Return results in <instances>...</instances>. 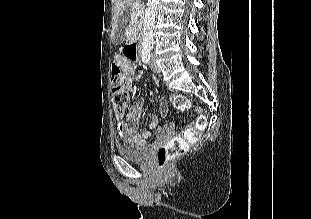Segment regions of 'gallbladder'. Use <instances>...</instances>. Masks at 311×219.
Here are the masks:
<instances>
[{
  "label": "gallbladder",
  "mask_w": 311,
  "mask_h": 219,
  "mask_svg": "<svg viewBox=\"0 0 311 219\" xmlns=\"http://www.w3.org/2000/svg\"><path fill=\"white\" fill-rule=\"evenodd\" d=\"M127 16L123 15L118 20V26L115 30L113 40L115 43H121L124 39L125 30L127 27Z\"/></svg>",
  "instance_id": "gallbladder-1"
}]
</instances>
